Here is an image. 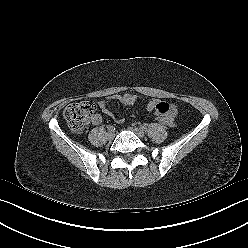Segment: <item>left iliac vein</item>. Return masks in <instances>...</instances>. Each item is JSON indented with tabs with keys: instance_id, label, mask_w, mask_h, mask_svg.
I'll return each instance as SVG.
<instances>
[{
	"instance_id": "left-iliac-vein-1",
	"label": "left iliac vein",
	"mask_w": 248,
	"mask_h": 248,
	"mask_svg": "<svg viewBox=\"0 0 248 248\" xmlns=\"http://www.w3.org/2000/svg\"><path fill=\"white\" fill-rule=\"evenodd\" d=\"M129 129L131 131H133L139 138H144L145 137V132L143 130H141L140 128L130 127Z\"/></svg>"
}]
</instances>
